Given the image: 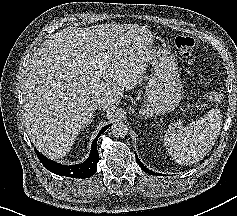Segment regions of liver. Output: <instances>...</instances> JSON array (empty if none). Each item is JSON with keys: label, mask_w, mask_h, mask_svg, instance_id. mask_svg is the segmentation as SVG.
Returning a JSON list of instances; mask_svg holds the SVG:
<instances>
[{"label": "liver", "mask_w": 237, "mask_h": 216, "mask_svg": "<svg viewBox=\"0 0 237 216\" xmlns=\"http://www.w3.org/2000/svg\"><path fill=\"white\" fill-rule=\"evenodd\" d=\"M112 30L69 27L45 40L30 62L23 84L25 126L46 154L71 150L93 121L98 100L118 105L124 90L140 82L145 67L121 62Z\"/></svg>", "instance_id": "obj_1"}]
</instances>
